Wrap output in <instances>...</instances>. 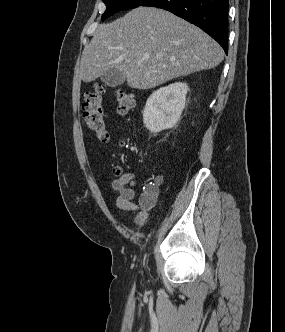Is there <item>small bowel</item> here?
Wrapping results in <instances>:
<instances>
[{"label": "small bowel", "mask_w": 285, "mask_h": 332, "mask_svg": "<svg viewBox=\"0 0 285 332\" xmlns=\"http://www.w3.org/2000/svg\"><path fill=\"white\" fill-rule=\"evenodd\" d=\"M137 182V176L128 172L112 181V189L116 194V208L122 211H138L136 221L143 224L147 220L149 210L157 200L164 177L160 174L156 175L145 185L138 198L134 191Z\"/></svg>", "instance_id": "small-bowel-1"}]
</instances>
